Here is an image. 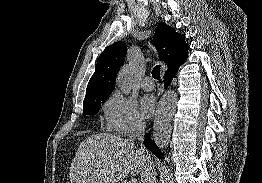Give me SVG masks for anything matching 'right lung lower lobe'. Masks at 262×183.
<instances>
[{"mask_svg":"<svg viewBox=\"0 0 262 183\" xmlns=\"http://www.w3.org/2000/svg\"><path fill=\"white\" fill-rule=\"evenodd\" d=\"M177 71L165 73L164 75V87L167 88L168 85L171 83L173 77L175 76ZM144 145L148 148L151 152H153L158 158H163V153L160 151L158 146L155 144L154 140L150 138L148 134H145Z\"/></svg>","mask_w":262,"mask_h":183,"instance_id":"98d812e1","label":"right lung lower lobe"}]
</instances>
